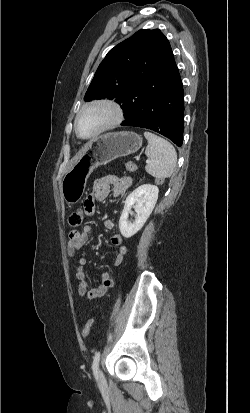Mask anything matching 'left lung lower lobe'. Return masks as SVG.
I'll use <instances>...</instances> for the list:
<instances>
[{
	"label": "left lung lower lobe",
	"instance_id": "obj_1",
	"mask_svg": "<svg viewBox=\"0 0 250 413\" xmlns=\"http://www.w3.org/2000/svg\"><path fill=\"white\" fill-rule=\"evenodd\" d=\"M183 97L182 81L171 53L165 73L144 81L123 107L125 120L121 125L153 130L181 146Z\"/></svg>",
	"mask_w": 250,
	"mask_h": 413
}]
</instances>
